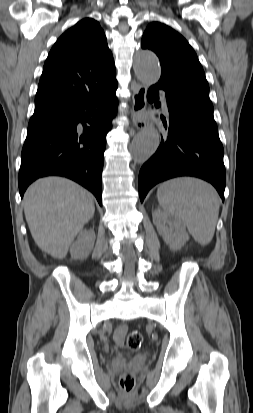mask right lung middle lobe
<instances>
[{"label":"right lung middle lobe","instance_id":"right-lung-middle-lobe-1","mask_svg":"<svg viewBox=\"0 0 253 413\" xmlns=\"http://www.w3.org/2000/svg\"><path fill=\"white\" fill-rule=\"evenodd\" d=\"M58 116L59 114L31 117L27 133L36 131L51 124Z\"/></svg>","mask_w":253,"mask_h":413}]
</instances>
